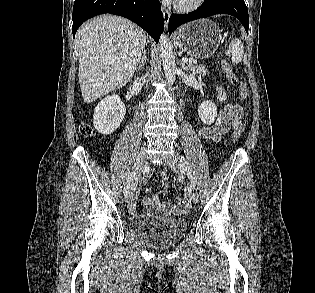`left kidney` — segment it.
Wrapping results in <instances>:
<instances>
[{"mask_svg": "<svg viewBox=\"0 0 315 293\" xmlns=\"http://www.w3.org/2000/svg\"><path fill=\"white\" fill-rule=\"evenodd\" d=\"M198 115L204 124L211 125L217 116V107L212 101H204L198 107Z\"/></svg>", "mask_w": 315, "mask_h": 293, "instance_id": "5707ae66", "label": "left kidney"}]
</instances>
